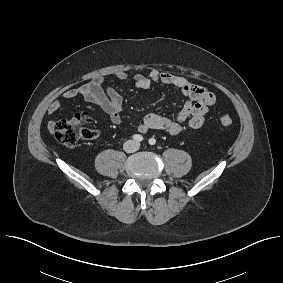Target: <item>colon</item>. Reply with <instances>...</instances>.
<instances>
[{
    "label": "colon",
    "mask_w": 283,
    "mask_h": 283,
    "mask_svg": "<svg viewBox=\"0 0 283 283\" xmlns=\"http://www.w3.org/2000/svg\"><path fill=\"white\" fill-rule=\"evenodd\" d=\"M90 117L87 113H77L74 116L58 121L54 126L56 139L67 147L75 146L80 139H94L98 136L97 130L90 127ZM223 127L232 125L233 120L228 115L219 118Z\"/></svg>",
    "instance_id": "5ec220e1"
}]
</instances>
